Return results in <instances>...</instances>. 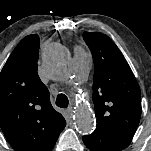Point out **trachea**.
<instances>
[{"mask_svg":"<svg viewBox=\"0 0 151 151\" xmlns=\"http://www.w3.org/2000/svg\"><path fill=\"white\" fill-rule=\"evenodd\" d=\"M69 100L65 94H59L56 98V105L60 108H67Z\"/></svg>","mask_w":151,"mask_h":151,"instance_id":"3493384b","label":"trachea"}]
</instances>
